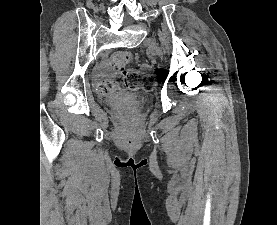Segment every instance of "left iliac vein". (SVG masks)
<instances>
[{
  "label": "left iliac vein",
  "mask_w": 277,
  "mask_h": 225,
  "mask_svg": "<svg viewBox=\"0 0 277 225\" xmlns=\"http://www.w3.org/2000/svg\"><path fill=\"white\" fill-rule=\"evenodd\" d=\"M145 45L148 46L151 50H153L156 53V55L161 57L162 52L155 39H152V38L147 39L145 42Z\"/></svg>",
  "instance_id": "left-iliac-vein-1"
}]
</instances>
